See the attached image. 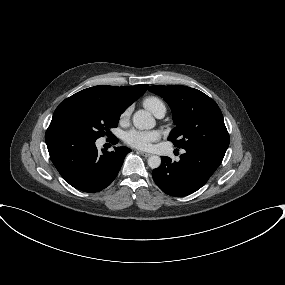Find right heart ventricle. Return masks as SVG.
<instances>
[{
	"instance_id": "right-heart-ventricle-1",
	"label": "right heart ventricle",
	"mask_w": 285,
	"mask_h": 285,
	"mask_svg": "<svg viewBox=\"0 0 285 285\" xmlns=\"http://www.w3.org/2000/svg\"><path fill=\"white\" fill-rule=\"evenodd\" d=\"M144 106L153 114L158 110H166L165 103L157 96H148L143 101Z\"/></svg>"
}]
</instances>
